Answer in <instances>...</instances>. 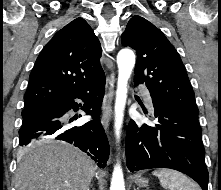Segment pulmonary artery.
<instances>
[{
  "instance_id": "e3ab8cb5",
  "label": "pulmonary artery",
  "mask_w": 221,
  "mask_h": 190,
  "mask_svg": "<svg viewBox=\"0 0 221 190\" xmlns=\"http://www.w3.org/2000/svg\"><path fill=\"white\" fill-rule=\"evenodd\" d=\"M143 96H144L145 101L151 106L152 105V101H151L150 94L148 92H145Z\"/></svg>"
}]
</instances>
